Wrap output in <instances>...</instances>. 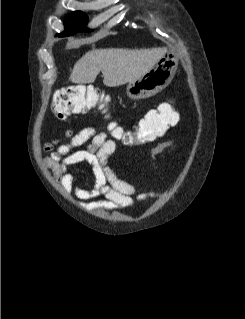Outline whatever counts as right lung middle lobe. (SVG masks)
<instances>
[{
  "mask_svg": "<svg viewBox=\"0 0 245 319\" xmlns=\"http://www.w3.org/2000/svg\"><path fill=\"white\" fill-rule=\"evenodd\" d=\"M66 31L59 36L71 35L76 32L85 31L89 32L91 30L85 29L87 23V17L84 13L80 11L73 12L66 21Z\"/></svg>",
  "mask_w": 245,
  "mask_h": 319,
  "instance_id": "right-lung-middle-lobe-1",
  "label": "right lung middle lobe"
}]
</instances>
